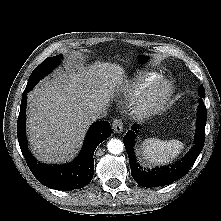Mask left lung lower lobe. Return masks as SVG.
<instances>
[{"mask_svg":"<svg viewBox=\"0 0 221 221\" xmlns=\"http://www.w3.org/2000/svg\"><path fill=\"white\" fill-rule=\"evenodd\" d=\"M207 120L206 107L203 104V100H199L198 117H197V129L195 135V144L189 151V153L182 158L179 162L166 167L143 169L135 159L134 156V143L136 139V132L139 129L138 124H133L131 130L123 138V142L129 157L131 174L134 180L144 187H158L162 185L170 184L189 171L194 164L198 155L200 154L204 139H205V125Z\"/></svg>","mask_w":221,"mask_h":221,"instance_id":"left-lung-lower-lobe-1","label":"left lung lower lobe"}]
</instances>
